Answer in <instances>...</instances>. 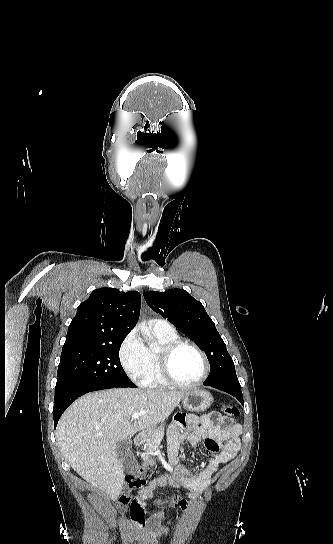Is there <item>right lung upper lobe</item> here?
Segmentation results:
<instances>
[{"label":"right lung upper lobe","mask_w":333,"mask_h":544,"mask_svg":"<svg viewBox=\"0 0 333 544\" xmlns=\"http://www.w3.org/2000/svg\"><path fill=\"white\" fill-rule=\"evenodd\" d=\"M141 307L140 293L115 288L94 290L77 308L63 349L108 343L127 336L136 325Z\"/></svg>","instance_id":"right-lung-upper-lobe-1"}]
</instances>
